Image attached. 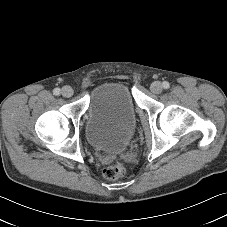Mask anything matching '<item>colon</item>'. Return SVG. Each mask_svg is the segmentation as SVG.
Masks as SVG:
<instances>
[{
	"instance_id": "5ec220e1",
	"label": "colon",
	"mask_w": 227,
	"mask_h": 227,
	"mask_svg": "<svg viewBox=\"0 0 227 227\" xmlns=\"http://www.w3.org/2000/svg\"><path fill=\"white\" fill-rule=\"evenodd\" d=\"M124 174V167L119 164H113L103 169V177L107 180H116Z\"/></svg>"
}]
</instances>
